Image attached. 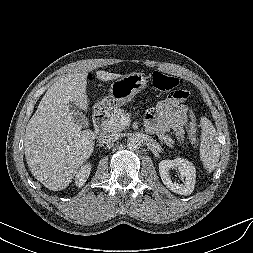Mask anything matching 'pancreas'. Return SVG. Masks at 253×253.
<instances>
[{"instance_id": "1", "label": "pancreas", "mask_w": 253, "mask_h": 253, "mask_svg": "<svg viewBox=\"0 0 253 253\" xmlns=\"http://www.w3.org/2000/svg\"><path fill=\"white\" fill-rule=\"evenodd\" d=\"M126 116H128V113L123 109L114 110L105 124V131L113 135L119 134L126 128V125L121 123V119ZM159 139L169 147H172V144L174 143V140L168 134L160 135Z\"/></svg>"}]
</instances>
